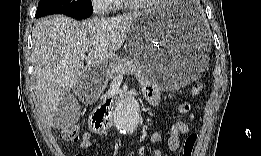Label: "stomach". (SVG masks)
Listing matches in <instances>:
<instances>
[{"instance_id":"stomach-1","label":"stomach","mask_w":261,"mask_h":156,"mask_svg":"<svg viewBox=\"0 0 261 156\" xmlns=\"http://www.w3.org/2000/svg\"><path fill=\"white\" fill-rule=\"evenodd\" d=\"M184 1H169L142 13L129 35L130 53L146 77L161 89H176L196 80L207 65L209 40L194 29ZM118 60L115 56L112 62ZM108 63L94 67L81 79L90 94L105 87Z\"/></svg>"}]
</instances>
